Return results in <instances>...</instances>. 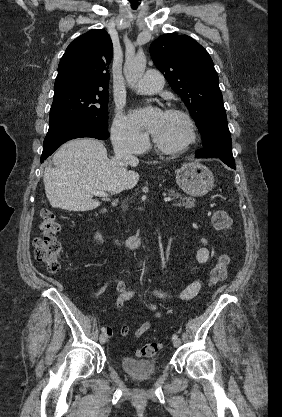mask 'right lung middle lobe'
I'll return each instance as SVG.
<instances>
[{
  "instance_id": "right-lung-middle-lobe-1",
  "label": "right lung middle lobe",
  "mask_w": 282,
  "mask_h": 417,
  "mask_svg": "<svg viewBox=\"0 0 282 417\" xmlns=\"http://www.w3.org/2000/svg\"><path fill=\"white\" fill-rule=\"evenodd\" d=\"M107 108V90L78 88L55 92L50 110L49 125L72 118H85L107 130Z\"/></svg>"
}]
</instances>
